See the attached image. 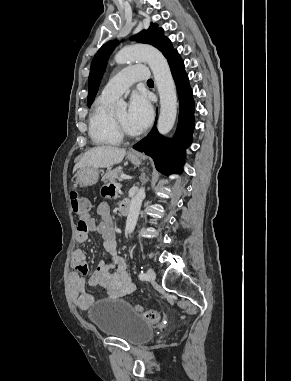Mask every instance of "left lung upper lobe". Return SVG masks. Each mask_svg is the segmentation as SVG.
<instances>
[{"label":"left lung upper lobe","instance_id":"obj_1","mask_svg":"<svg viewBox=\"0 0 291 381\" xmlns=\"http://www.w3.org/2000/svg\"><path fill=\"white\" fill-rule=\"evenodd\" d=\"M133 39L141 43H147L155 46L163 53L167 60L176 51L173 49L170 40L164 37L163 29L158 28L156 23H151L148 30H143L139 34L135 35ZM117 44V40L107 42L100 48L93 58L88 79V106L91 105L97 94L103 72L106 68L107 60Z\"/></svg>","mask_w":291,"mask_h":381}]
</instances>
